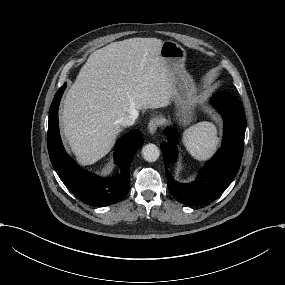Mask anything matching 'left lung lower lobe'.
Wrapping results in <instances>:
<instances>
[{"label":"left lung lower lobe","instance_id":"left-lung-lower-lobe-1","mask_svg":"<svg viewBox=\"0 0 285 285\" xmlns=\"http://www.w3.org/2000/svg\"><path fill=\"white\" fill-rule=\"evenodd\" d=\"M212 105L224 120V137L221 148L200 171L196 181L189 184L176 182L168 171L177 159V137L171 128L164 133L167 142L161 143L169 191L181 203L202 205L217 199L236 176L242 159L246 118L238 99L231 94L217 93Z\"/></svg>","mask_w":285,"mask_h":285}]
</instances>
